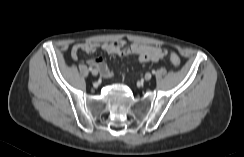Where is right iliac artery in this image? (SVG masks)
<instances>
[{"mask_svg": "<svg viewBox=\"0 0 244 157\" xmlns=\"http://www.w3.org/2000/svg\"><path fill=\"white\" fill-rule=\"evenodd\" d=\"M89 70L92 72L94 69L92 67H89Z\"/></svg>", "mask_w": 244, "mask_h": 157, "instance_id": "obj_1", "label": "right iliac artery"}]
</instances>
